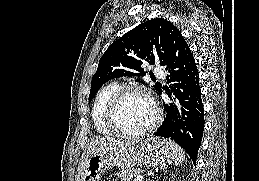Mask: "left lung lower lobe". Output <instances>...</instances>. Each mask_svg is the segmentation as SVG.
<instances>
[{
  "label": "left lung lower lobe",
  "instance_id": "0a47b994",
  "mask_svg": "<svg viewBox=\"0 0 259 181\" xmlns=\"http://www.w3.org/2000/svg\"><path fill=\"white\" fill-rule=\"evenodd\" d=\"M165 66L171 90L162 87L159 93L166 89L176 98L170 96V103H164L167 115L154 135L175 141L196 163L204 131V106L195 59L183 36L175 40Z\"/></svg>",
  "mask_w": 259,
  "mask_h": 181
}]
</instances>
